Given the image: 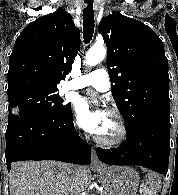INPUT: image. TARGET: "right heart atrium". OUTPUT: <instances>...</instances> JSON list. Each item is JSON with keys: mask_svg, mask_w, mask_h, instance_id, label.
Segmentation results:
<instances>
[{"mask_svg": "<svg viewBox=\"0 0 178 195\" xmlns=\"http://www.w3.org/2000/svg\"><path fill=\"white\" fill-rule=\"evenodd\" d=\"M75 128L78 131V129H79V124L78 123H75Z\"/></svg>", "mask_w": 178, "mask_h": 195, "instance_id": "d8ad5b80", "label": "right heart atrium"}]
</instances>
